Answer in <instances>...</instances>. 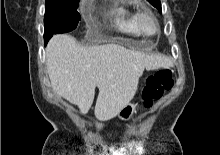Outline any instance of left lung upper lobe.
Wrapping results in <instances>:
<instances>
[{
	"label": "left lung upper lobe",
	"instance_id": "obj_1",
	"mask_svg": "<svg viewBox=\"0 0 220 155\" xmlns=\"http://www.w3.org/2000/svg\"><path fill=\"white\" fill-rule=\"evenodd\" d=\"M154 7H156L159 12H161V3L160 0H148Z\"/></svg>",
	"mask_w": 220,
	"mask_h": 155
}]
</instances>
